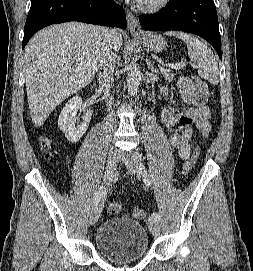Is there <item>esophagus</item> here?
Returning a JSON list of instances; mask_svg holds the SVG:
<instances>
[{"mask_svg":"<svg viewBox=\"0 0 253 271\" xmlns=\"http://www.w3.org/2000/svg\"><path fill=\"white\" fill-rule=\"evenodd\" d=\"M127 28L133 34L141 33V27L139 25V22L135 15L130 11H127Z\"/></svg>","mask_w":253,"mask_h":271,"instance_id":"obj_1","label":"esophagus"}]
</instances>
